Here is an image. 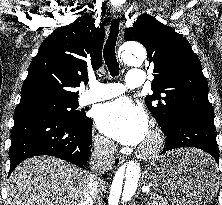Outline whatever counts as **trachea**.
I'll use <instances>...</instances> for the list:
<instances>
[{"label":"trachea","instance_id":"trachea-1","mask_svg":"<svg viewBox=\"0 0 222 205\" xmlns=\"http://www.w3.org/2000/svg\"><path fill=\"white\" fill-rule=\"evenodd\" d=\"M118 32H119V22L116 19H114L111 21L110 32L103 51L105 63L112 77L119 75V64L117 62L116 52H115Z\"/></svg>","mask_w":222,"mask_h":205}]
</instances>
